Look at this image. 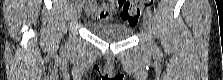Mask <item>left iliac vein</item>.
Here are the masks:
<instances>
[{"label": "left iliac vein", "instance_id": "obj_1", "mask_svg": "<svg viewBox=\"0 0 223 80\" xmlns=\"http://www.w3.org/2000/svg\"><path fill=\"white\" fill-rule=\"evenodd\" d=\"M143 29L147 34L148 38L152 41V30H151V22L149 18L145 15L143 19Z\"/></svg>", "mask_w": 223, "mask_h": 80}]
</instances>
